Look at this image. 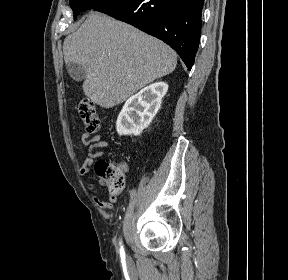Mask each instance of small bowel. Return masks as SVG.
<instances>
[{"label": "small bowel", "mask_w": 288, "mask_h": 280, "mask_svg": "<svg viewBox=\"0 0 288 280\" xmlns=\"http://www.w3.org/2000/svg\"><path fill=\"white\" fill-rule=\"evenodd\" d=\"M81 146L88 148V156L84 160L81 168L80 174L87 175L90 171L91 166L94 163V160L104 156L103 149L108 147V142L102 140L99 134L90 135L89 132L83 133L80 139ZM124 172H127L128 166L125 163H121ZM88 187L91 192V196L96 203V205L101 209H111L113 203L116 201L117 196L109 195L106 201H102L97 196L96 188L93 184L88 183Z\"/></svg>", "instance_id": "c3829d8e"}]
</instances>
